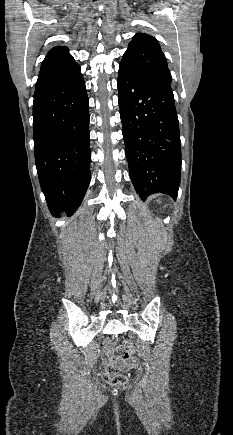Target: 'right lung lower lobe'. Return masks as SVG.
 Segmentation results:
<instances>
[{
	"label": "right lung lower lobe",
	"instance_id": "98d812e1",
	"mask_svg": "<svg viewBox=\"0 0 233 435\" xmlns=\"http://www.w3.org/2000/svg\"><path fill=\"white\" fill-rule=\"evenodd\" d=\"M37 173L49 209L70 214L90 183L89 101L81 72L34 95Z\"/></svg>",
	"mask_w": 233,
	"mask_h": 435
}]
</instances>
